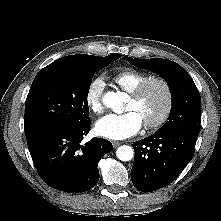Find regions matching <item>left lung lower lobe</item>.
<instances>
[{
  "label": "left lung lower lobe",
  "mask_w": 221,
  "mask_h": 221,
  "mask_svg": "<svg viewBox=\"0 0 221 221\" xmlns=\"http://www.w3.org/2000/svg\"><path fill=\"white\" fill-rule=\"evenodd\" d=\"M199 132L188 130L157 131L137 141L131 179L142 192L167 186L191 161Z\"/></svg>",
  "instance_id": "1"
}]
</instances>
